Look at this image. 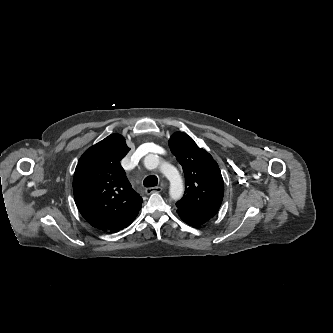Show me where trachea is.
Returning <instances> with one entry per match:
<instances>
[{"label": "trachea", "instance_id": "trachea-1", "mask_svg": "<svg viewBox=\"0 0 333 333\" xmlns=\"http://www.w3.org/2000/svg\"><path fill=\"white\" fill-rule=\"evenodd\" d=\"M143 184L145 187L157 186L158 178L155 175L148 176L144 179Z\"/></svg>", "mask_w": 333, "mask_h": 333}]
</instances>
